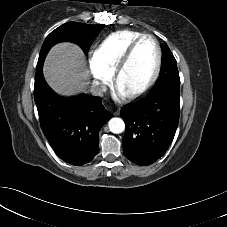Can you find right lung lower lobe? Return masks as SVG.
I'll list each match as a JSON object with an SVG mask.
<instances>
[{
	"instance_id": "98d812e1",
	"label": "right lung lower lobe",
	"mask_w": 227,
	"mask_h": 227,
	"mask_svg": "<svg viewBox=\"0 0 227 227\" xmlns=\"http://www.w3.org/2000/svg\"><path fill=\"white\" fill-rule=\"evenodd\" d=\"M34 98L41 128L55 153L72 165L90 162L99 151V130L112 117L101 98H61L47 85L42 66L36 67Z\"/></svg>"
}]
</instances>
